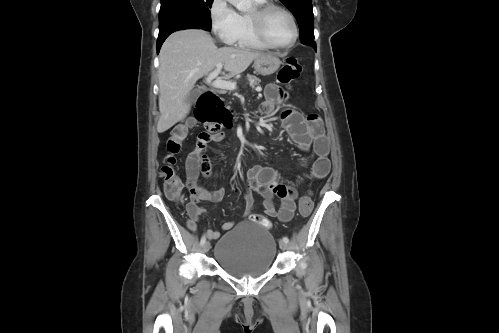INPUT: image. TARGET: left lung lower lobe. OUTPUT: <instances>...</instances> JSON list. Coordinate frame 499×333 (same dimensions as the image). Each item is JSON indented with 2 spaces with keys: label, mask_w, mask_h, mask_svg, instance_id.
<instances>
[{
  "label": "left lung lower lobe",
  "mask_w": 499,
  "mask_h": 333,
  "mask_svg": "<svg viewBox=\"0 0 499 333\" xmlns=\"http://www.w3.org/2000/svg\"><path fill=\"white\" fill-rule=\"evenodd\" d=\"M301 43L305 45H310L316 50V44L313 40H302Z\"/></svg>",
  "instance_id": "obj_1"
}]
</instances>
